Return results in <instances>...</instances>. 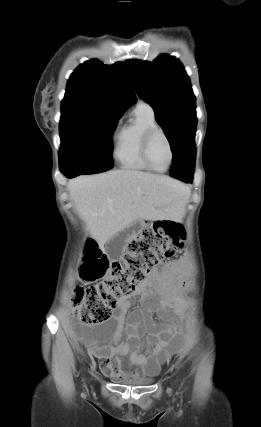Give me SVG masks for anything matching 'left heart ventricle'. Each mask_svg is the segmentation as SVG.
Listing matches in <instances>:
<instances>
[{"label":"left heart ventricle","instance_id":"b2bd125f","mask_svg":"<svg viewBox=\"0 0 261 427\" xmlns=\"http://www.w3.org/2000/svg\"><path fill=\"white\" fill-rule=\"evenodd\" d=\"M150 160L156 169L163 170L166 168L170 152L165 139L161 135H157L150 146Z\"/></svg>","mask_w":261,"mask_h":427}]
</instances>
